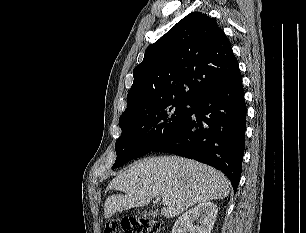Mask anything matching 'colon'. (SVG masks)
I'll return each instance as SVG.
<instances>
[{"mask_svg":"<svg viewBox=\"0 0 306 233\" xmlns=\"http://www.w3.org/2000/svg\"><path fill=\"white\" fill-rule=\"evenodd\" d=\"M161 221L152 217H130L111 220L104 226L103 233H161Z\"/></svg>","mask_w":306,"mask_h":233,"instance_id":"colon-1","label":"colon"}]
</instances>
